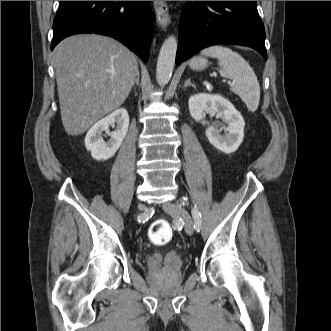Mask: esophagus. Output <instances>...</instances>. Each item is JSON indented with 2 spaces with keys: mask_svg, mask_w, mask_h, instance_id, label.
I'll return each instance as SVG.
<instances>
[{
  "mask_svg": "<svg viewBox=\"0 0 331 331\" xmlns=\"http://www.w3.org/2000/svg\"><path fill=\"white\" fill-rule=\"evenodd\" d=\"M156 20L159 26L166 27L170 23V14L165 1H153Z\"/></svg>",
  "mask_w": 331,
  "mask_h": 331,
  "instance_id": "esophagus-1",
  "label": "esophagus"
}]
</instances>
